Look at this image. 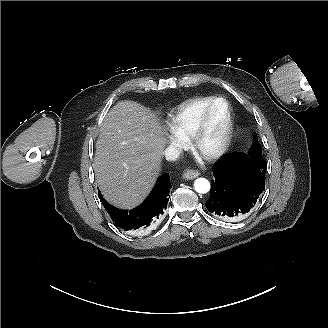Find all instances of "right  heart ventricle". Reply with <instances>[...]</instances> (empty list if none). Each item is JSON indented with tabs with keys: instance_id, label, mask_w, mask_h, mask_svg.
<instances>
[{
	"instance_id": "1",
	"label": "right heart ventricle",
	"mask_w": 328,
	"mask_h": 328,
	"mask_svg": "<svg viewBox=\"0 0 328 328\" xmlns=\"http://www.w3.org/2000/svg\"><path fill=\"white\" fill-rule=\"evenodd\" d=\"M214 98V96H199L176 105L175 117L169 130L176 136L181 147L187 143L189 128L196 114Z\"/></svg>"
}]
</instances>
